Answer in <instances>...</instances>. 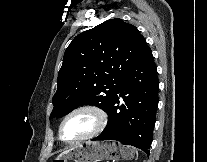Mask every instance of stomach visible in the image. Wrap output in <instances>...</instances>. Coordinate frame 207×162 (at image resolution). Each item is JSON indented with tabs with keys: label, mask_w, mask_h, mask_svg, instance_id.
I'll return each instance as SVG.
<instances>
[{
	"label": "stomach",
	"mask_w": 207,
	"mask_h": 162,
	"mask_svg": "<svg viewBox=\"0 0 207 162\" xmlns=\"http://www.w3.org/2000/svg\"><path fill=\"white\" fill-rule=\"evenodd\" d=\"M134 156L135 150L131 146L110 141L86 142L60 154L53 162H63L59 160H74V162L132 160Z\"/></svg>",
	"instance_id": "0dacf381"
}]
</instances>
